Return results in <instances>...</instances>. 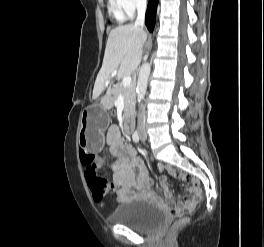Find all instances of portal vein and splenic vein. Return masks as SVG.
Here are the masks:
<instances>
[{
    "label": "portal vein and splenic vein",
    "mask_w": 264,
    "mask_h": 247,
    "mask_svg": "<svg viewBox=\"0 0 264 247\" xmlns=\"http://www.w3.org/2000/svg\"><path fill=\"white\" fill-rule=\"evenodd\" d=\"M115 75H116V72L112 73L111 76L114 77ZM130 83H131V77L128 76V77H124L123 78L122 84H123L124 87L129 86ZM106 84H108V82Z\"/></svg>",
    "instance_id": "18ae733b"
}]
</instances>
